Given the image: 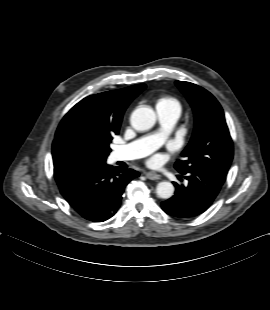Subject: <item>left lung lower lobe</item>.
<instances>
[{"label":"left lung lower lobe","instance_id":"left-lung-lower-lobe-1","mask_svg":"<svg viewBox=\"0 0 270 310\" xmlns=\"http://www.w3.org/2000/svg\"><path fill=\"white\" fill-rule=\"evenodd\" d=\"M187 186L173 183L176 191L162 202L163 210L177 218H191L205 212L217 197L226 177L196 169L186 173Z\"/></svg>","mask_w":270,"mask_h":310}]
</instances>
